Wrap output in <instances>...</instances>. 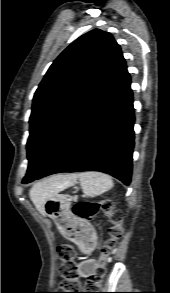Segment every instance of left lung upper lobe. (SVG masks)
<instances>
[{
  "label": "left lung upper lobe",
  "mask_w": 170,
  "mask_h": 293,
  "mask_svg": "<svg viewBox=\"0 0 170 293\" xmlns=\"http://www.w3.org/2000/svg\"><path fill=\"white\" fill-rule=\"evenodd\" d=\"M125 68L119 45L99 29L82 35L57 57L33 98L24 179L41 173L64 149Z\"/></svg>",
  "instance_id": "obj_1"
}]
</instances>
